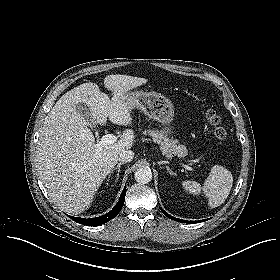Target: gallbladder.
<instances>
[{"instance_id": "bac80fb5", "label": "gallbladder", "mask_w": 280, "mask_h": 280, "mask_svg": "<svg viewBox=\"0 0 280 280\" xmlns=\"http://www.w3.org/2000/svg\"><path fill=\"white\" fill-rule=\"evenodd\" d=\"M77 111L83 116V118L88 122L90 123L89 125H94V120L92 118V115H91V111H90V108L84 104V103H79L77 105Z\"/></svg>"}]
</instances>
